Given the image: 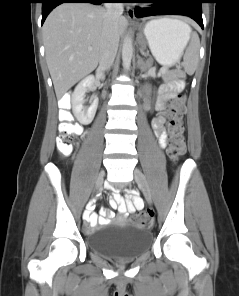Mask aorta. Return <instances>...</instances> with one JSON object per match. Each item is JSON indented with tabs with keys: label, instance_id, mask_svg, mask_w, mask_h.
<instances>
[{
	"label": "aorta",
	"instance_id": "762f6f07",
	"mask_svg": "<svg viewBox=\"0 0 239 296\" xmlns=\"http://www.w3.org/2000/svg\"><path fill=\"white\" fill-rule=\"evenodd\" d=\"M133 56L132 39L126 36L122 46V61L126 71L130 70L131 60Z\"/></svg>",
	"mask_w": 239,
	"mask_h": 296
}]
</instances>
